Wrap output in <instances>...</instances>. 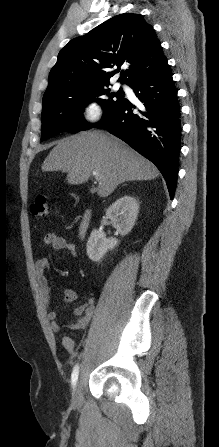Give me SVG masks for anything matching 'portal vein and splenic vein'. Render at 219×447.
I'll return each mask as SVG.
<instances>
[{"instance_id":"portal-vein-and-splenic-vein-1","label":"portal vein and splenic vein","mask_w":219,"mask_h":447,"mask_svg":"<svg viewBox=\"0 0 219 447\" xmlns=\"http://www.w3.org/2000/svg\"><path fill=\"white\" fill-rule=\"evenodd\" d=\"M93 175L96 177V176H97V173H96V172H93Z\"/></svg>"}]
</instances>
